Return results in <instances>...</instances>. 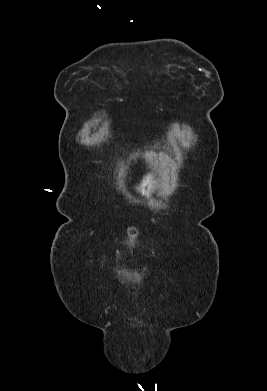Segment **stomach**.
<instances>
[{"mask_svg": "<svg viewBox=\"0 0 267 391\" xmlns=\"http://www.w3.org/2000/svg\"><path fill=\"white\" fill-rule=\"evenodd\" d=\"M157 188V181L152 174H145L133 185V193L140 197H149Z\"/></svg>", "mask_w": 267, "mask_h": 391, "instance_id": "1", "label": "stomach"}]
</instances>
